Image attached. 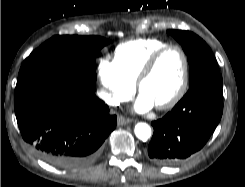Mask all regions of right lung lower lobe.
Returning a JSON list of instances; mask_svg holds the SVG:
<instances>
[{"label":"right lung lower lobe","mask_w":245,"mask_h":187,"mask_svg":"<svg viewBox=\"0 0 245 187\" xmlns=\"http://www.w3.org/2000/svg\"><path fill=\"white\" fill-rule=\"evenodd\" d=\"M95 90V82L59 70L18 76L15 114L23 139L38 157L62 169L97 159L117 117Z\"/></svg>","instance_id":"right-lung-lower-lobe-1"}]
</instances>
